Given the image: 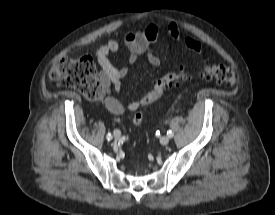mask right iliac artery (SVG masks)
<instances>
[{
    "mask_svg": "<svg viewBox=\"0 0 275 215\" xmlns=\"http://www.w3.org/2000/svg\"><path fill=\"white\" fill-rule=\"evenodd\" d=\"M106 138H107L108 140H111V139H112L111 133H108L107 136H106Z\"/></svg>",
    "mask_w": 275,
    "mask_h": 215,
    "instance_id": "82829eb1",
    "label": "right iliac artery"
}]
</instances>
